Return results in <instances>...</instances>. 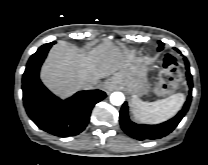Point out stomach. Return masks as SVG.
Segmentation results:
<instances>
[{
	"instance_id": "obj_1",
	"label": "stomach",
	"mask_w": 208,
	"mask_h": 165,
	"mask_svg": "<svg viewBox=\"0 0 208 165\" xmlns=\"http://www.w3.org/2000/svg\"><path fill=\"white\" fill-rule=\"evenodd\" d=\"M148 67L143 60L135 61L129 68L112 78V81L126 87L133 96L140 97L149 89Z\"/></svg>"
}]
</instances>
